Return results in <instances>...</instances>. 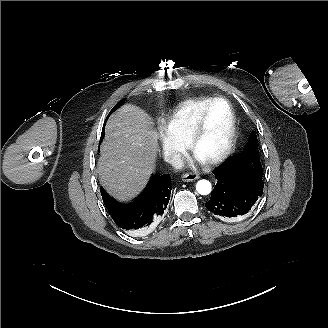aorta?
Instances as JSON below:
<instances>
[{
  "label": "aorta",
  "mask_w": 328,
  "mask_h": 328,
  "mask_svg": "<svg viewBox=\"0 0 328 328\" xmlns=\"http://www.w3.org/2000/svg\"><path fill=\"white\" fill-rule=\"evenodd\" d=\"M196 190L201 195H208L212 191L211 183L208 180H199L196 184Z\"/></svg>",
  "instance_id": "1"
}]
</instances>
